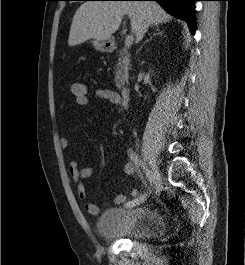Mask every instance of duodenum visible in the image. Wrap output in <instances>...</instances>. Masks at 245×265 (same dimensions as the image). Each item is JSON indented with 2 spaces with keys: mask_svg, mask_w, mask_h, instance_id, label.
Instances as JSON below:
<instances>
[{
  "mask_svg": "<svg viewBox=\"0 0 245 265\" xmlns=\"http://www.w3.org/2000/svg\"><path fill=\"white\" fill-rule=\"evenodd\" d=\"M111 51L114 50L113 47L109 48ZM121 97H122V102L124 105L128 106L130 104V99H131V93L129 88L123 87L121 88Z\"/></svg>",
  "mask_w": 245,
  "mask_h": 265,
  "instance_id": "410a0bca",
  "label": "duodenum"
}]
</instances>
